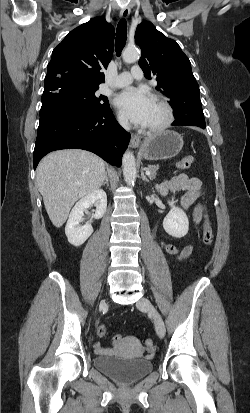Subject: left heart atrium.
<instances>
[{
    "label": "left heart atrium",
    "instance_id": "obj_1",
    "mask_svg": "<svg viewBox=\"0 0 250 413\" xmlns=\"http://www.w3.org/2000/svg\"><path fill=\"white\" fill-rule=\"evenodd\" d=\"M153 99L143 89L127 88L115 99L118 109L132 122L146 125Z\"/></svg>",
    "mask_w": 250,
    "mask_h": 413
}]
</instances>
